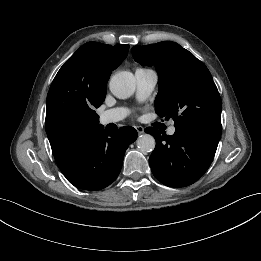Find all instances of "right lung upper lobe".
<instances>
[{
  "mask_svg": "<svg viewBox=\"0 0 261 261\" xmlns=\"http://www.w3.org/2000/svg\"><path fill=\"white\" fill-rule=\"evenodd\" d=\"M129 45L88 42L55 76L48 95L45 127L59 168L66 166L104 128L94 111L104 101L107 81Z\"/></svg>",
  "mask_w": 261,
  "mask_h": 261,
  "instance_id": "cb5924a9",
  "label": "right lung upper lobe"
}]
</instances>
